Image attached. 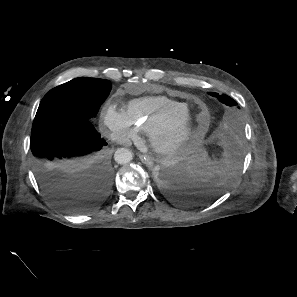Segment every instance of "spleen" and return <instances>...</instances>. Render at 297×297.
<instances>
[{"mask_svg":"<svg viewBox=\"0 0 297 297\" xmlns=\"http://www.w3.org/2000/svg\"><path fill=\"white\" fill-rule=\"evenodd\" d=\"M192 163L194 165V167L199 168V167H209L211 166L213 163L209 160H202V161H198L196 159L192 160Z\"/></svg>","mask_w":297,"mask_h":297,"instance_id":"spleen-1","label":"spleen"}]
</instances>
